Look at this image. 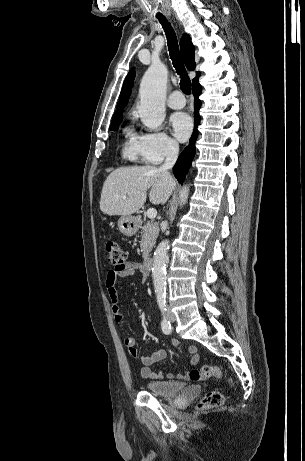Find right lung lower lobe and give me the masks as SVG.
Listing matches in <instances>:
<instances>
[{
    "label": "right lung lower lobe",
    "mask_w": 305,
    "mask_h": 461,
    "mask_svg": "<svg viewBox=\"0 0 305 461\" xmlns=\"http://www.w3.org/2000/svg\"><path fill=\"white\" fill-rule=\"evenodd\" d=\"M192 92L195 97L194 100V130L192 137L190 138L189 145L184 149L180 154L175 166L173 167L174 176L177 178L179 183H182L185 175L188 173L192 159L195 155V141L197 140L198 130L197 126L200 122L199 108L201 106V101L199 100V95L201 94V86L197 82L192 84Z\"/></svg>",
    "instance_id": "1"
}]
</instances>
